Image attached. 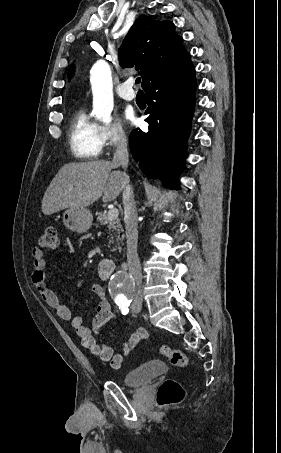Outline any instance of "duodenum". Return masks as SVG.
<instances>
[{
  "mask_svg": "<svg viewBox=\"0 0 281 453\" xmlns=\"http://www.w3.org/2000/svg\"><path fill=\"white\" fill-rule=\"evenodd\" d=\"M117 265L113 260L103 259L98 265V272L102 279H108L115 271Z\"/></svg>",
  "mask_w": 281,
  "mask_h": 453,
  "instance_id": "410a0bca",
  "label": "duodenum"
}]
</instances>
